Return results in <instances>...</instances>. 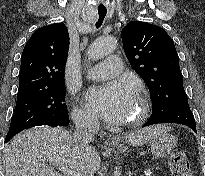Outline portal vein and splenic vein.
<instances>
[{
    "mask_svg": "<svg viewBox=\"0 0 205 176\" xmlns=\"http://www.w3.org/2000/svg\"><path fill=\"white\" fill-rule=\"evenodd\" d=\"M57 169L59 171H61L64 176H87V175H83V174L77 173L75 171H72L66 167H57Z\"/></svg>",
    "mask_w": 205,
    "mask_h": 176,
    "instance_id": "18ae733b",
    "label": "portal vein and splenic vein"
}]
</instances>
